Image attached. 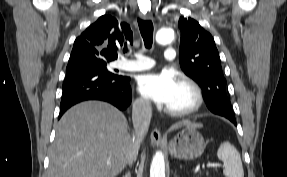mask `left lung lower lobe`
I'll list each match as a JSON object with an SVG mask.
<instances>
[{
	"label": "left lung lower lobe",
	"instance_id": "1",
	"mask_svg": "<svg viewBox=\"0 0 287 177\" xmlns=\"http://www.w3.org/2000/svg\"><path fill=\"white\" fill-rule=\"evenodd\" d=\"M222 101L225 102L226 100L225 99H220L218 97L214 98L213 101H212V105L209 107V109L215 113V114H218V115H221V116H224L226 117L227 119H229L233 124L236 125V119H235V116L234 115H229L225 112V109L223 108L222 106Z\"/></svg>",
	"mask_w": 287,
	"mask_h": 177
}]
</instances>
